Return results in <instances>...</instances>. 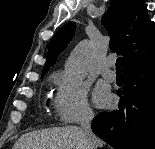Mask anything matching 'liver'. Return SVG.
Listing matches in <instances>:
<instances>
[{
	"label": "liver",
	"mask_w": 155,
	"mask_h": 149,
	"mask_svg": "<svg viewBox=\"0 0 155 149\" xmlns=\"http://www.w3.org/2000/svg\"><path fill=\"white\" fill-rule=\"evenodd\" d=\"M98 146L103 142L98 139ZM13 149H88L84 131L77 126L56 127L22 135Z\"/></svg>",
	"instance_id": "6515ba94"
}]
</instances>
